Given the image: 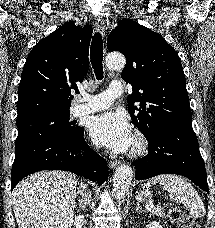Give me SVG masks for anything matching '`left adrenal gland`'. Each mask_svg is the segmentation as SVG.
Returning <instances> with one entry per match:
<instances>
[{
	"mask_svg": "<svg viewBox=\"0 0 215 228\" xmlns=\"http://www.w3.org/2000/svg\"><path fill=\"white\" fill-rule=\"evenodd\" d=\"M136 206H137V210H142V208H141V206H140L138 200H137V202H136Z\"/></svg>",
	"mask_w": 215,
	"mask_h": 228,
	"instance_id": "left-adrenal-gland-1",
	"label": "left adrenal gland"
}]
</instances>
